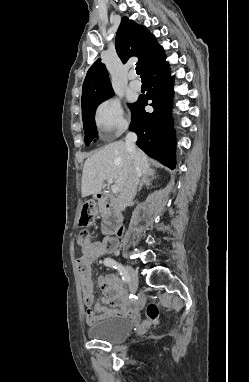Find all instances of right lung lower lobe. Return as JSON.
Here are the masks:
<instances>
[{
  "mask_svg": "<svg viewBox=\"0 0 249 382\" xmlns=\"http://www.w3.org/2000/svg\"><path fill=\"white\" fill-rule=\"evenodd\" d=\"M164 58V55L157 58L144 72L150 90L134 103L130 130L137 133L136 144L147 155L174 169V131L170 118L173 77ZM148 99L152 100V113L144 109Z\"/></svg>",
  "mask_w": 249,
  "mask_h": 382,
  "instance_id": "1",
  "label": "right lung lower lobe"
}]
</instances>
